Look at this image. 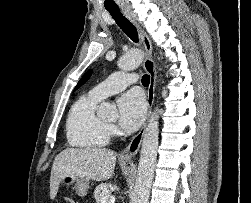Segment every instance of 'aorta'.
I'll use <instances>...</instances> for the list:
<instances>
[{
  "label": "aorta",
  "mask_w": 251,
  "mask_h": 203,
  "mask_svg": "<svg viewBox=\"0 0 251 203\" xmlns=\"http://www.w3.org/2000/svg\"><path fill=\"white\" fill-rule=\"evenodd\" d=\"M142 59L143 53L140 50H132L119 59L118 67L123 71L133 70L140 65ZM98 114L104 117L114 116L116 108L114 105L104 102L100 105ZM158 118L157 111H154L144 132L138 174L130 203L148 202L158 150Z\"/></svg>",
  "instance_id": "aorta-1"
}]
</instances>
